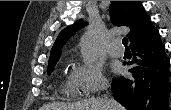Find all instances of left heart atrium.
<instances>
[{
  "mask_svg": "<svg viewBox=\"0 0 171 110\" xmlns=\"http://www.w3.org/2000/svg\"><path fill=\"white\" fill-rule=\"evenodd\" d=\"M113 70H114L115 72H119V68H118L117 66H114V67H113Z\"/></svg>",
  "mask_w": 171,
  "mask_h": 110,
  "instance_id": "39dd6f15",
  "label": "left heart atrium"
}]
</instances>
